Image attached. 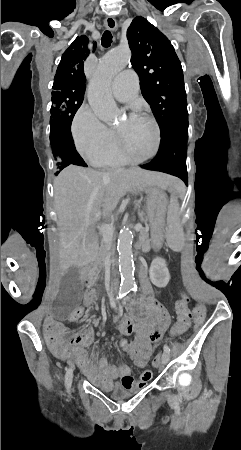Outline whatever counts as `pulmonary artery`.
<instances>
[{
  "instance_id": "1",
  "label": "pulmonary artery",
  "mask_w": 241,
  "mask_h": 450,
  "mask_svg": "<svg viewBox=\"0 0 241 450\" xmlns=\"http://www.w3.org/2000/svg\"><path fill=\"white\" fill-rule=\"evenodd\" d=\"M138 75L135 69H126L114 78L111 91L114 98L121 103H128L138 90Z\"/></svg>"
}]
</instances>
